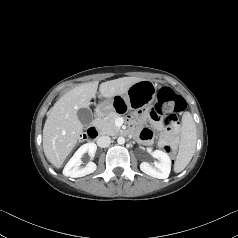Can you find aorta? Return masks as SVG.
<instances>
[{"mask_svg": "<svg viewBox=\"0 0 238 238\" xmlns=\"http://www.w3.org/2000/svg\"><path fill=\"white\" fill-rule=\"evenodd\" d=\"M117 143L120 145H123L125 143V138L124 137H118Z\"/></svg>", "mask_w": 238, "mask_h": 238, "instance_id": "obj_1", "label": "aorta"}]
</instances>
